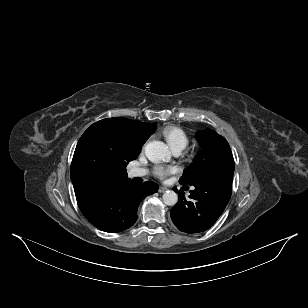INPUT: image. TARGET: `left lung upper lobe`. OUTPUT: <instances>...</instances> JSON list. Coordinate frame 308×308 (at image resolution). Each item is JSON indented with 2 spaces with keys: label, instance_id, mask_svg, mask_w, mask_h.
I'll return each mask as SVG.
<instances>
[{
  "label": "left lung upper lobe",
  "instance_id": "left-lung-upper-lobe-1",
  "mask_svg": "<svg viewBox=\"0 0 308 308\" xmlns=\"http://www.w3.org/2000/svg\"><path fill=\"white\" fill-rule=\"evenodd\" d=\"M197 140L203 147L194 163L184 170L180 184L191 185L202 177L220 170L235 169L233 155L226 139L211 129L196 133Z\"/></svg>",
  "mask_w": 308,
  "mask_h": 308
}]
</instances>
